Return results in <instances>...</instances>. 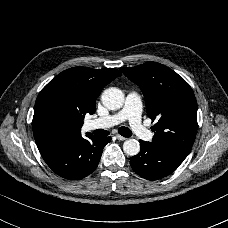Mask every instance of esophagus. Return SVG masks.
Listing matches in <instances>:
<instances>
[{
	"instance_id": "1",
	"label": "esophagus",
	"mask_w": 228,
	"mask_h": 228,
	"mask_svg": "<svg viewBox=\"0 0 228 228\" xmlns=\"http://www.w3.org/2000/svg\"><path fill=\"white\" fill-rule=\"evenodd\" d=\"M116 137H117V139L119 140V141H124V140H126L127 138L126 137H123V136H121V135H116Z\"/></svg>"
}]
</instances>
